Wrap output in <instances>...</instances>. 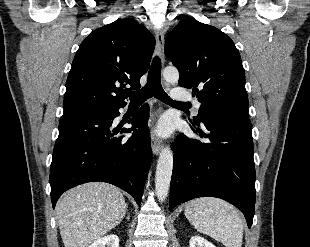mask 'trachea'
Segmentation results:
<instances>
[{"label": "trachea", "instance_id": "trachea-1", "mask_svg": "<svg viewBox=\"0 0 310 247\" xmlns=\"http://www.w3.org/2000/svg\"><path fill=\"white\" fill-rule=\"evenodd\" d=\"M128 96L132 104H141L154 96L170 105H188L187 103L172 100L163 90L161 85V61L158 56L153 58L146 85L140 90L129 92Z\"/></svg>", "mask_w": 310, "mask_h": 247}]
</instances>
